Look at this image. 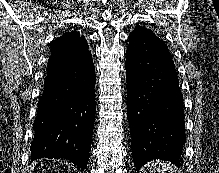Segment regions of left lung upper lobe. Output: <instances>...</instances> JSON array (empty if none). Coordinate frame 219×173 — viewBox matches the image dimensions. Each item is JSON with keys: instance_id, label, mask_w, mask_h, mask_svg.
Listing matches in <instances>:
<instances>
[{"instance_id": "1", "label": "left lung upper lobe", "mask_w": 219, "mask_h": 173, "mask_svg": "<svg viewBox=\"0 0 219 173\" xmlns=\"http://www.w3.org/2000/svg\"><path fill=\"white\" fill-rule=\"evenodd\" d=\"M139 32H152V31L145 27L138 26L131 33H139Z\"/></svg>"}]
</instances>
